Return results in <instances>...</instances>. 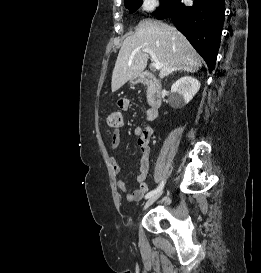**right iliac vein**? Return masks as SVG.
Here are the masks:
<instances>
[{
    "mask_svg": "<svg viewBox=\"0 0 261 273\" xmlns=\"http://www.w3.org/2000/svg\"><path fill=\"white\" fill-rule=\"evenodd\" d=\"M163 193V190L158 191L156 194L151 196L144 204L143 209L148 208L150 205H152Z\"/></svg>",
    "mask_w": 261,
    "mask_h": 273,
    "instance_id": "1",
    "label": "right iliac vein"
}]
</instances>
